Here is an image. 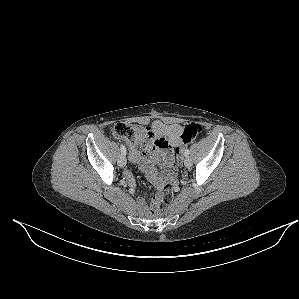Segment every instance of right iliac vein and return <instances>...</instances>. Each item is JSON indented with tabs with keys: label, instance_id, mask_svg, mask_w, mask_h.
I'll return each instance as SVG.
<instances>
[{
	"label": "right iliac vein",
	"instance_id": "63e3f726",
	"mask_svg": "<svg viewBox=\"0 0 299 299\" xmlns=\"http://www.w3.org/2000/svg\"><path fill=\"white\" fill-rule=\"evenodd\" d=\"M126 165V157L125 155H121L118 159V166L123 168Z\"/></svg>",
	"mask_w": 299,
	"mask_h": 299
}]
</instances>
